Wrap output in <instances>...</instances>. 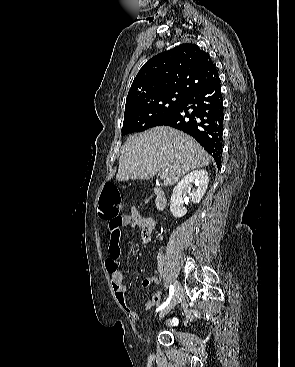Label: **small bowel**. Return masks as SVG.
I'll use <instances>...</instances> for the list:
<instances>
[{"label": "small bowel", "instance_id": "obj_1", "mask_svg": "<svg viewBox=\"0 0 295 367\" xmlns=\"http://www.w3.org/2000/svg\"><path fill=\"white\" fill-rule=\"evenodd\" d=\"M137 226L141 229L140 240L141 244H147L151 241L152 233L155 228V221L151 217L143 216L139 211L132 207L129 213L122 215L117 221H109L108 224V250L109 254L105 261V267L110 274L111 284L115 293L117 302L121 308L133 318L138 317V313L132 309L126 298V289L123 285V273L119 268L120 259V238L124 227ZM160 282L157 277L145 278L142 281L143 287H148L152 284ZM161 300V292L158 291L145 304V310L152 309Z\"/></svg>", "mask_w": 295, "mask_h": 367}]
</instances>
